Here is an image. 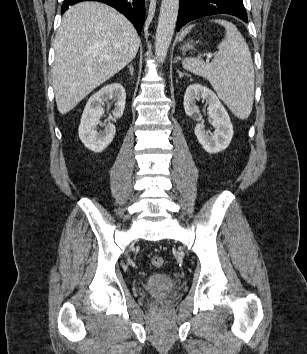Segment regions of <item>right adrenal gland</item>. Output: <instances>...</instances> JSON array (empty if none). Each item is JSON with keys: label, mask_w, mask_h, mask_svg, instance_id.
<instances>
[{"label": "right adrenal gland", "mask_w": 307, "mask_h": 354, "mask_svg": "<svg viewBox=\"0 0 307 354\" xmlns=\"http://www.w3.org/2000/svg\"><path fill=\"white\" fill-rule=\"evenodd\" d=\"M128 68L130 70V74L133 75L134 72L133 64L129 65Z\"/></svg>", "instance_id": "2a0ac1e0"}]
</instances>
